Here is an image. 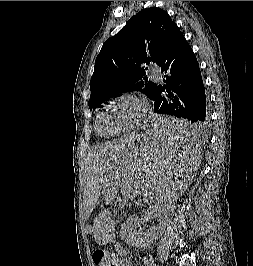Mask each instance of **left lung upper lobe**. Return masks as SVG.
<instances>
[{
	"label": "left lung upper lobe",
	"instance_id": "5c2ea615",
	"mask_svg": "<svg viewBox=\"0 0 253 266\" xmlns=\"http://www.w3.org/2000/svg\"><path fill=\"white\" fill-rule=\"evenodd\" d=\"M176 23L156 7L143 9L102 46L90 80V110L123 92L140 91L153 100L155 83L146 65L156 63Z\"/></svg>",
	"mask_w": 253,
	"mask_h": 266
}]
</instances>
